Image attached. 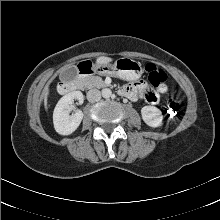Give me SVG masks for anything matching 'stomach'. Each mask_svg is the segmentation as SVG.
I'll return each mask as SVG.
<instances>
[{"label": "stomach", "instance_id": "1", "mask_svg": "<svg viewBox=\"0 0 220 220\" xmlns=\"http://www.w3.org/2000/svg\"><path fill=\"white\" fill-rule=\"evenodd\" d=\"M92 70L100 75L117 76L127 81L137 80L143 73L142 64L127 57L117 59L114 64L92 65Z\"/></svg>", "mask_w": 220, "mask_h": 220}]
</instances>
